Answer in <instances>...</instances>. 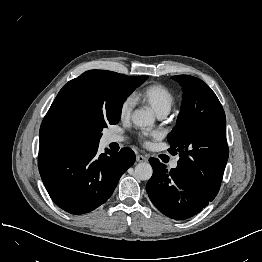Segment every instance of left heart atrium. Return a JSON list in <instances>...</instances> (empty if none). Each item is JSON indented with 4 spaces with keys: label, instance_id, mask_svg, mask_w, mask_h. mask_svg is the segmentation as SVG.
I'll list each match as a JSON object with an SVG mask.
<instances>
[{
    "label": "left heart atrium",
    "instance_id": "39dd6f15",
    "mask_svg": "<svg viewBox=\"0 0 262 262\" xmlns=\"http://www.w3.org/2000/svg\"><path fill=\"white\" fill-rule=\"evenodd\" d=\"M147 137H156L155 133H143L140 135V139L143 140V142L146 143V138Z\"/></svg>",
    "mask_w": 262,
    "mask_h": 262
}]
</instances>
